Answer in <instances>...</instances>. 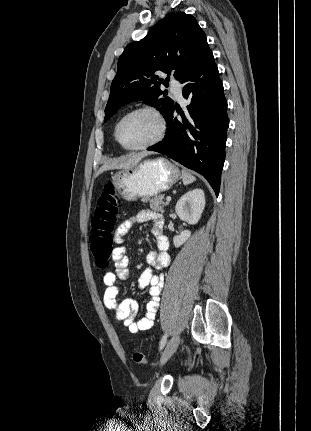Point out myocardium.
Listing matches in <instances>:
<instances>
[{"instance_id":"f54148a6","label":"myocardium","mask_w":311,"mask_h":431,"mask_svg":"<svg viewBox=\"0 0 311 431\" xmlns=\"http://www.w3.org/2000/svg\"><path fill=\"white\" fill-rule=\"evenodd\" d=\"M137 112H149L152 113L153 115L156 116V118L158 119L159 123H160V130L158 135L151 140L150 142H147L145 144L139 145V146H126L120 139L119 137V133H118V127L120 122L126 118L127 116L137 113ZM167 132V120L164 116V114L155 106L152 105H141L135 108H132L128 111H126L125 113H123L116 121L115 125H114V137L116 139V141L119 143V145L124 148L125 150H130V151H135V150H144L150 147H153L154 145L158 144L166 135Z\"/></svg>"}]
</instances>
